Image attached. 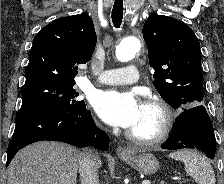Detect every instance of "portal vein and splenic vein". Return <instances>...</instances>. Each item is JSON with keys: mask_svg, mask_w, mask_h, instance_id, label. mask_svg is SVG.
Wrapping results in <instances>:
<instances>
[{"mask_svg": "<svg viewBox=\"0 0 224 184\" xmlns=\"http://www.w3.org/2000/svg\"><path fill=\"white\" fill-rule=\"evenodd\" d=\"M142 184H151V182L149 180H144L142 181Z\"/></svg>", "mask_w": 224, "mask_h": 184, "instance_id": "portal-vein-and-splenic-vein-1", "label": "portal vein and splenic vein"}]
</instances>
